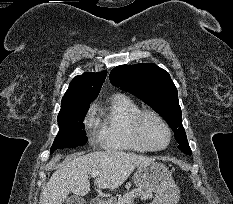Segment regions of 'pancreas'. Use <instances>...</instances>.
Masks as SVG:
<instances>
[{"instance_id":"pancreas-1","label":"pancreas","mask_w":233,"mask_h":204,"mask_svg":"<svg viewBox=\"0 0 233 204\" xmlns=\"http://www.w3.org/2000/svg\"><path fill=\"white\" fill-rule=\"evenodd\" d=\"M153 197L152 193L149 191H144L141 188L133 189L127 191L123 196L118 198L115 204H133L134 199L140 198L141 200L151 199ZM113 204V203H108Z\"/></svg>"}]
</instances>
